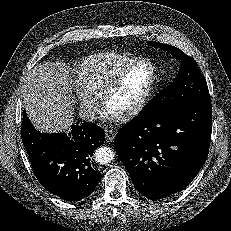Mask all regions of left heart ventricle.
I'll use <instances>...</instances> for the list:
<instances>
[{"label": "left heart ventricle", "instance_id": "left-heart-ventricle-1", "mask_svg": "<svg viewBox=\"0 0 231 231\" xmlns=\"http://www.w3.org/2000/svg\"><path fill=\"white\" fill-rule=\"evenodd\" d=\"M151 76V69L148 65L135 68L125 79L122 87L110 98L109 110L117 112L134 104L147 89Z\"/></svg>", "mask_w": 231, "mask_h": 231}]
</instances>
